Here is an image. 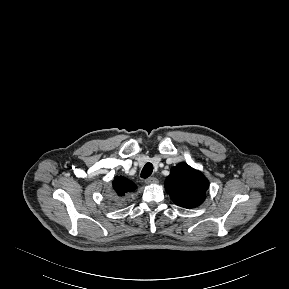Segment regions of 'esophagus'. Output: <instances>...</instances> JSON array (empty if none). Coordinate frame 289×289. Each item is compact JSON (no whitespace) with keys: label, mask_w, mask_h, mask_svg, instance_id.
Listing matches in <instances>:
<instances>
[{"label":"esophagus","mask_w":289,"mask_h":289,"mask_svg":"<svg viewBox=\"0 0 289 289\" xmlns=\"http://www.w3.org/2000/svg\"><path fill=\"white\" fill-rule=\"evenodd\" d=\"M158 182V180H157V178H155V177H149V178H147L146 180H145V183L146 184H155V183H157Z\"/></svg>","instance_id":"34e87169"}]
</instances>
